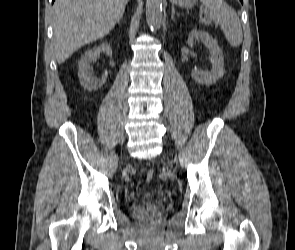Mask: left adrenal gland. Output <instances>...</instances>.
<instances>
[{"label":"left adrenal gland","mask_w":295,"mask_h":250,"mask_svg":"<svg viewBox=\"0 0 295 250\" xmlns=\"http://www.w3.org/2000/svg\"><path fill=\"white\" fill-rule=\"evenodd\" d=\"M175 13H176V12H175V9H174V7H172V15H171V19H172V20H174Z\"/></svg>","instance_id":"left-adrenal-gland-1"}]
</instances>
